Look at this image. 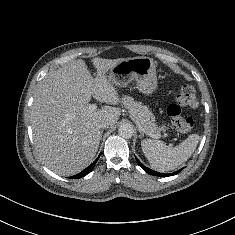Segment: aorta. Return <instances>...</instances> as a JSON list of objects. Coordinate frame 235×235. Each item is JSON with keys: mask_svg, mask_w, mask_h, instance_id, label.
I'll list each match as a JSON object with an SVG mask.
<instances>
[{"mask_svg": "<svg viewBox=\"0 0 235 235\" xmlns=\"http://www.w3.org/2000/svg\"><path fill=\"white\" fill-rule=\"evenodd\" d=\"M118 132L120 134L121 137L123 138H131L134 134V129L133 126L129 123H125L120 125Z\"/></svg>", "mask_w": 235, "mask_h": 235, "instance_id": "obj_1", "label": "aorta"}]
</instances>
